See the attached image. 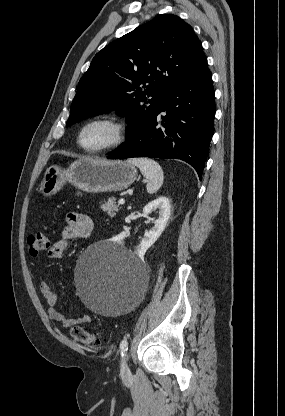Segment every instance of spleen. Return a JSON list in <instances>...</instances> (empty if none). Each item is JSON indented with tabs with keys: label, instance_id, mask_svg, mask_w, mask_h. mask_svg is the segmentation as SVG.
I'll use <instances>...</instances> for the list:
<instances>
[{
	"label": "spleen",
	"instance_id": "1",
	"mask_svg": "<svg viewBox=\"0 0 285 416\" xmlns=\"http://www.w3.org/2000/svg\"><path fill=\"white\" fill-rule=\"evenodd\" d=\"M127 162L128 164H132V166H137L144 178H147L148 184L146 188L148 194H156L164 180L161 166L157 162H154V160H149V158H129Z\"/></svg>",
	"mask_w": 285,
	"mask_h": 416
}]
</instances>
